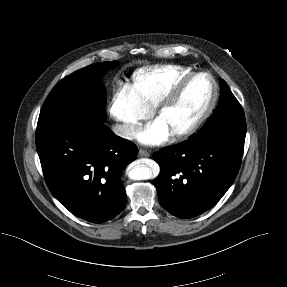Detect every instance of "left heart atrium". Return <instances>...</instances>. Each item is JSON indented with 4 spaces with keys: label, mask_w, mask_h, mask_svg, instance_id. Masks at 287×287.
Segmentation results:
<instances>
[{
    "label": "left heart atrium",
    "mask_w": 287,
    "mask_h": 287,
    "mask_svg": "<svg viewBox=\"0 0 287 287\" xmlns=\"http://www.w3.org/2000/svg\"><path fill=\"white\" fill-rule=\"evenodd\" d=\"M169 136L168 129L159 121L149 124L139 135V140L147 145H156L167 140Z\"/></svg>",
    "instance_id": "1"
}]
</instances>
